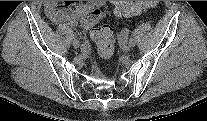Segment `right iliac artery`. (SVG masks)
<instances>
[{
	"instance_id": "right-iliac-artery-1",
	"label": "right iliac artery",
	"mask_w": 207,
	"mask_h": 121,
	"mask_svg": "<svg viewBox=\"0 0 207 121\" xmlns=\"http://www.w3.org/2000/svg\"><path fill=\"white\" fill-rule=\"evenodd\" d=\"M88 47H89V42H88V41H85V42L83 43V45H82V49L85 51V50L88 49Z\"/></svg>"
}]
</instances>
